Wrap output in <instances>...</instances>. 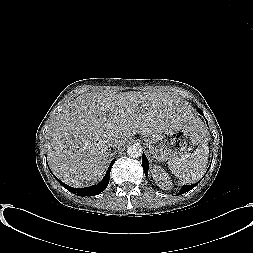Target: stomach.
Masks as SVG:
<instances>
[{
    "mask_svg": "<svg viewBox=\"0 0 253 253\" xmlns=\"http://www.w3.org/2000/svg\"><path fill=\"white\" fill-rule=\"evenodd\" d=\"M203 136L202 132L194 131L188 125H180L163 133L146 136V143L152 157L163 162L186 156Z\"/></svg>",
    "mask_w": 253,
    "mask_h": 253,
    "instance_id": "0dacf381",
    "label": "stomach"
}]
</instances>
